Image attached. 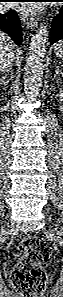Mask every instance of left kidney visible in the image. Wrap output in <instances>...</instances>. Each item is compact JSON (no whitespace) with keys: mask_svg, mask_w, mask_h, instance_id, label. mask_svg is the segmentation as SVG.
<instances>
[{"mask_svg":"<svg viewBox=\"0 0 63 297\" xmlns=\"http://www.w3.org/2000/svg\"><path fill=\"white\" fill-rule=\"evenodd\" d=\"M58 98H59L60 102L63 101V92H62V90H60V93L58 94Z\"/></svg>","mask_w":63,"mask_h":297,"instance_id":"obj_1","label":"left kidney"}]
</instances>
